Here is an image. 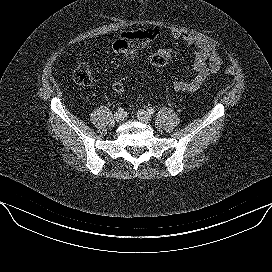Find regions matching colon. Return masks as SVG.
<instances>
[{
  "mask_svg": "<svg viewBox=\"0 0 272 272\" xmlns=\"http://www.w3.org/2000/svg\"><path fill=\"white\" fill-rule=\"evenodd\" d=\"M157 35V30L155 29H147V30H138L134 31V38L138 40L143 47L147 46ZM168 58L161 53L152 54L148 63L155 68L162 69L166 67ZM227 74L233 75L234 70L228 68L226 70ZM73 79L79 85H89L93 81L92 69L88 63L79 64L74 72ZM113 90L117 93H121L124 91V83L120 80L114 82Z\"/></svg>",
  "mask_w": 272,
  "mask_h": 272,
  "instance_id": "5ec220e1",
  "label": "colon"
}]
</instances>
